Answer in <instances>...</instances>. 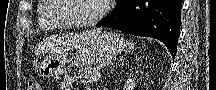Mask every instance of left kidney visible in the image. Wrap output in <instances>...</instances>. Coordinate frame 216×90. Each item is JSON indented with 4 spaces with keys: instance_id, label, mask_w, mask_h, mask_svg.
<instances>
[{
    "instance_id": "left-kidney-1",
    "label": "left kidney",
    "mask_w": 216,
    "mask_h": 90,
    "mask_svg": "<svg viewBox=\"0 0 216 90\" xmlns=\"http://www.w3.org/2000/svg\"><path fill=\"white\" fill-rule=\"evenodd\" d=\"M136 78H129L125 84L124 90H134L136 84H135Z\"/></svg>"
}]
</instances>
